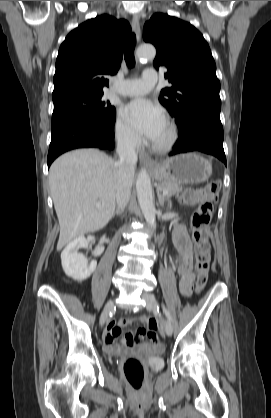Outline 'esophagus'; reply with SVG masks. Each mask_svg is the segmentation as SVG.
Wrapping results in <instances>:
<instances>
[{"label": "esophagus", "instance_id": "obj_1", "mask_svg": "<svg viewBox=\"0 0 271 418\" xmlns=\"http://www.w3.org/2000/svg\"><path fill=\"white\" fill-rule=\"evenodd\" d=\"M132 25H133L134 32L136 34L137 41H139L140 40V21H139V16L137 14L133 15ZM139 158H140V161L143 164H146L147 166H154L155 165V162L145 152H141L139 154Z\"/></svg>", "mask_w": 271, "mask_h": 418}]
</instances>
